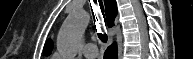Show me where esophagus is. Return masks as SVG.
I'll return each mask as SVG.
<instances>
[{
	"instance_id": "obj_1",
	"label": "esophagus",
	"mask_w": 193,
	"mask_h": 59,
	"mask_svg": "<svg viewBox=\"0 0 193 59\" xmlns=\"http://www.w3.org/2000/svg\"><path fill=\"white\" fill-rule=\"evenodd\" d=\"M90 3H91V6H92V8H93V10L95 12L96 5L98 4V6H99L98 0H91Z\"/></svg>"
}]
</instances>
